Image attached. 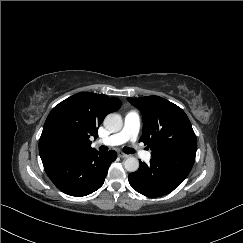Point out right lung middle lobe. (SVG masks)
I'll use <instances>...</instances> for the list:
<instances>
[{
	"instance_id": "1",
	"label": "right lung middle lobe",
	"mask_w": 243,
	"mask_h": 243,
	"mask_svg": "<svg viewBox=\"0 0 243 243\" xmlns=\"http://www.w3.org/2000/svg\"><path fill=\"white\" fill-rule=\"evenodd\" d=\"M73 143L74 138L70 131L53 125L43 131L39 140V151L47 159L58 160L68 154Z\"/></svg>"
}]
</instances>
